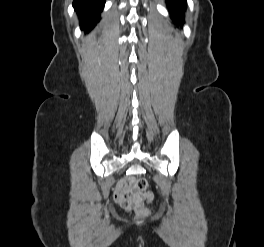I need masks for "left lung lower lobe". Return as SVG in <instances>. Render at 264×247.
I'll return each mask as SVG.
<instances>
[{
  "label": "left lung lower lobe",
  "instance_id": "obj_1",
  "mask_svg": "<svg viewBox=\"0 0 264 247\" xmlns=\"http://www.w3.org/2000/svg\"><path fill=\"white\" fill-rule=\"evenodd\" d=\"M166 4L169 7L172 18L182 26V23H184L183 15L186 9L185 0H166Z\"/></svg>",
  "mask_w": 264,
  "mask_h": 247
}]
</instances>
